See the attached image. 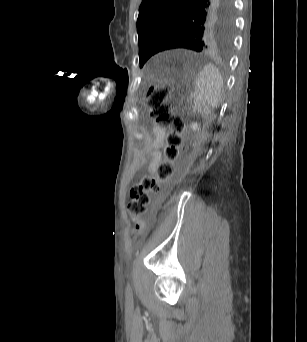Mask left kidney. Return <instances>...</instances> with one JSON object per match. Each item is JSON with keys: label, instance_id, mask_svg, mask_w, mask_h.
Instances as JSON below:
<instances>
[{"label": "left kidney", "instance_id": "left-kidney-1", "mask_svg": "<svg viewBox=\"0 0 307 342\" xmlns=\"http://www.w3.org/2000/svg\"><path fill=\"white\" fill-rule=\"evenodd\" d=\"M191 128L192 130H199L200 124H196V122H194V124H191Z\"/></svg>", "mask_w": 307, "mask_h": 342}]
</instances>
